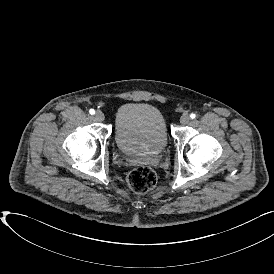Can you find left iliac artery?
<instances>
[{
  "label": "left iliac artery",
  "mask_w": 274,
  "mask_h": 274,
  "mask_svg": "<svg viewBox=\"0 0 274 274\" xmlns=\"http://www.w3.org/2000/svg\"><path fill=\"white\" fill-rule=\"evenodd\" d=\"M196 117V115L194 114V113H192L191 115H190V118L191 119H194Z\"/></svg>",
  "instance_id": "left-iliac-artery-1"
}]
</instances>
